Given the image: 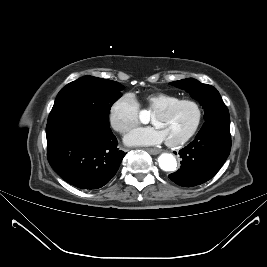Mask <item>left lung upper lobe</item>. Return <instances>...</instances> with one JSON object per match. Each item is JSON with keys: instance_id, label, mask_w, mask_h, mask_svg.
<instances>
[{"instance_id": "5c2ea615", "label": "left lung upper lobe", "mask_w": 267, "mask_h": 267, "mask_svg": "<svg viewBox=\"0 0 267 267\" xmlns=\"http://www.w3.org/2000/svg\"><path fill=\"white\" fill-rule=\"evenodd\" d=\"M178 88L186 90L191 97L199 101L204 108V119L211 120L221 117H229V112L225 106L219 92L211 85L188 78L170 83Z\"/></svg>"}]
</instances>
